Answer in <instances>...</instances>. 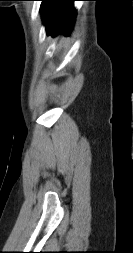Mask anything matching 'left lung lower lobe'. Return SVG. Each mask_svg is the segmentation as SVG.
Wrapping results in <instances>:
<instances>
[{
  "label": "left lung lower lobe",
  "mask_w": 133,
  "mask_h": 253,
  "mask_svg": "<svg viewBox=\"0 0 133 253\" xmlns=\"http://www.w3.org/2000/svg\"><path fill=\"white\" fill-rule=\"evenodd\" d=\"M39 1H42L41 13L47 33L52 36L59 33L69 35L75 22L76 11L73 2L76 0Z\"/></svg>",
  "instance_id": "left-lung-lower-lobe-1"
}]
</instances>
